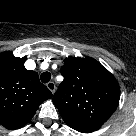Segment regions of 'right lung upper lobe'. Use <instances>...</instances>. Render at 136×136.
Segmentation results:
<instances>
[{
    "label": "right lung upper lobe",
    "mask_w": 136,
    "mask_h": 136,
    "mask_svg": "<svg viewBox=\"0 0 136 136\" xmlns=\"http://www.w3.org/2000/svg\"><path fill=\"white\" fill-rule=\"evenodd\" d=\"M25 61L10 51L0 54V124L7 129L26 125L39 105L52 97L38 74L24 67Z\"/></svg>",
    "instance_id": "obj_1"
}]
</instances>
